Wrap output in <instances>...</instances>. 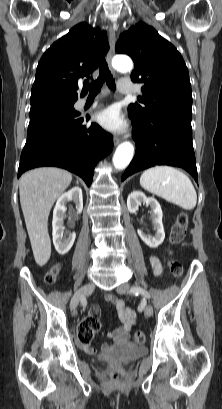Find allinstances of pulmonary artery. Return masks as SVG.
<instances>
[{
    "label": "pulmonary artery",
    "mask_w": 222,
    "mask_h": 409,
    "mask_svg": "<svg viewBox=\"0 0 222 409\" xmlns=\"http://www.w3.org/2000/svg\"><path fill=\"white\" fill-rule=\"evenodd\" d=\"M118 89H119L120 93H122V94H131V93L134 92L133 87H131V86L127 85V84L121 83V82L118 83ZM85 103H86L85 100L80 101V105H85Z\"/></svg>",
    "instance_id": "pulmonary-artery-1"
}]
</instances>
